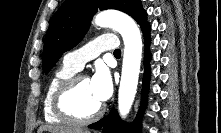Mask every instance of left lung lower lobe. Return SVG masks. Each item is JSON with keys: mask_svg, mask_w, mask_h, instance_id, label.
<instances>
[{"mask_svg": "<svg viewBox=\"0 0 221 133\" xmlns=\"http://www.w3.org/2000/svg\"><path fill=\"white\" fill-rule=\"evenodd\" d=\"M144 38H145V59H144V76L142 82V101L141 107L137 114V117L132 125H126L122 122L117 114V112L113 109L106 117L102 118L96 123L89 125L90 128L93 129H102L103 133H140L141 131V112L145 108L146 100H147V92L149 87V79H150V53L148 51V46L150 43V25L149 23L145 24L142 28Z\"/></svg>", "mask_w": 221, "mask_h": 133, "instance_id": "left-lung-lower-lobe-1", "label": "left lung lower lobe"}]
</instances>
